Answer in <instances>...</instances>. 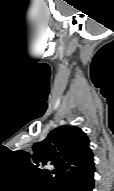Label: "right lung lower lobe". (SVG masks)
Returning a JSON list of instances; mask_svg holds the SVG:
<instances>
[{
	"label": "right lung lower lobe",
	"mask_w": 114,
	"mask_h": 191,
	"mask_svg": "<svg viewBox=\"0 0 114 191\" xmlns=\"http://www.w3.org/2000/svg\"><path fill=\"white\" fill-rule=\"evenodd\" d=\"M94 170L67 179L58 186L59 191H92L94 187Z\"/></svg>",
	"instance_id": "1"
}]
</instances>
